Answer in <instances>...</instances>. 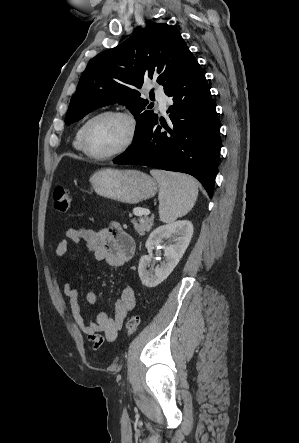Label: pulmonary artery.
<instances>
[{"mask_svg":"<svg viewBox=\"0 0 299 443\" xmlns=\"http://www.w3.org/2000/svg\"><path fill=\"white\" fill-rule=\"evenodd\" d=\"M155 96H156V99H157L158 102H159L160 110H161L162 112H165V111H166V108H167V102H168V98H167V96L165 95V93L163 92V90L160 89V88H157V89L155 90Z\"/></svg>","mask_w":299,"mask_h":443,"instance_id":"obj_1","label":"pulmonary artery"}]
</instances>
